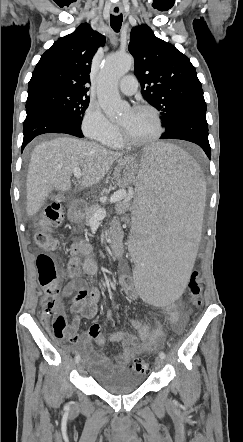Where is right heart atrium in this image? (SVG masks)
<instances>
[{"instance_id": "1", "label": "right heart atrium", "mask_w": 243, "mask_h": 442, "mask_svg": "<svg viewBox=\"0 0 243 442\" xmlns=\"http://www.w3.org/2000/svg\"><path fill=\"white\" fill-rule=\"evenodd\" d=\"M81 129L87 138L100 143H107L118 133L117 127L96 103H90L86 108Z\"/></svg>"}]
</instances>
